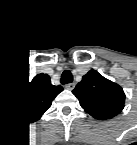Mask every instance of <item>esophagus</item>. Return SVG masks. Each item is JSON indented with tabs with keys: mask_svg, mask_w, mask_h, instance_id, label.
Masks as SVG:
<instances>
[{
	"mask_svg": "<svg viewBox=\"0 0 137 145\" xmlns=\"http://www.w3.org/2000/svg\"><path fill=\"white\" fill-rule=\"evenodd\" d=\"M74 86H75V85H74L73 83H70V84H66V85H65V87L68 88V89H73Z\"/></svg>",
	"mask_w": 137,
	"mask_h": 145,
	"instance_id": "1",
	"label": "esophagus"
}]
</instances>
